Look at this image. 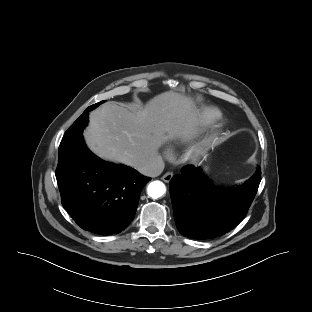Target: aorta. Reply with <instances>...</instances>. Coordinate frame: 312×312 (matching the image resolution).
Wrapping results in <instances>:
<instances>
[{"label": "aorta", "mask_w": 312, "mask_h": 312, "mask_svg": "<svg viewBox=\"0 0 312 312\" xmlns=\"http://www.w3.org/2000/svg\"><path fill=\"white\" fill-rule=\"evenodd\" d=\"M166 193V186L163 182L156 180L147 187V194L153 199H158Z\"/></svg>", "instance_id": "762f6f07"}]
</instances>
